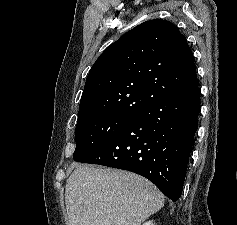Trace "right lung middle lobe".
<instances>
[{"mask_svg": "<svg viewBox=\"0 0 237 225\" xmlns=\"http://www.w3.org/2000/svg\"><path fill=\"white\" fill-rule=\"evenodd\" d=\"M134 115H99L78 119L73 154L79 161L124 127Z\"/></svg>", "mask_w": 237, "mask_h": 225, "instance_id": "obj_1", "label": "right lung middle lobe"}]
</instances>
